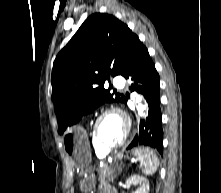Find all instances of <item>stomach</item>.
<instances>
[{
  "label": "stomach",
  "mask_w": 221,
  "mask_h": 193,
  "mask_svg": "<svg viewBox=\"0 0 221 193\" xmlns=\"http://www.w3.org/2000/svg\"><path fill=\"white\" fill-rule=\"evenodd\" d=\"M60 138H63L65 155L75 159L74 167H91L88 137L81 125H68L67 133H60ZM95 179H100V174H85L84 182L92 185Z\"/></svg>",
  "instance_id": "1"
}]
</instances>
